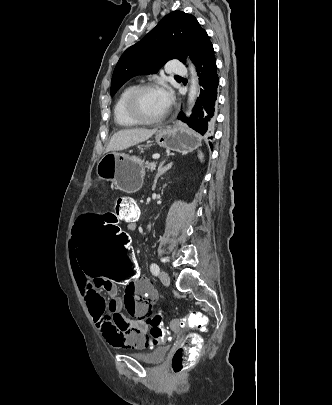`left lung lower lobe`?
Instances as JSON below:
<instances>
[{"mask_svg": "<svg viewBox=\"0 0 332 405\" xmlns=\"http://www.w3.org/2000/svg\"><path fill=\"white\" fill-rule=\"evenodd\" d=\"M199 76L200 92L192 115L186 118L181 112L178 119L186 122L192 129L201 135H210L213 131L217 109V75L216 59L212 44L207 46L195 61ZM212 137H209V139Z\"/></svg>", "mask_w": 332, "mask_h": 405, "instance_id": "obj_1", "label": "left lung lower lobe"}]
</instances>
